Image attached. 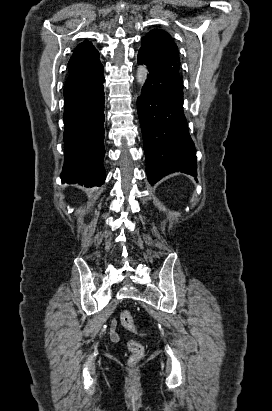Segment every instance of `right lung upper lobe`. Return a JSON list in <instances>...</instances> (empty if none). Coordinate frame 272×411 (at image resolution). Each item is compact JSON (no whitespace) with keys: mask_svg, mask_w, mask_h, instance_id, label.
<instances>
[{"mask_svg":"<svg viewBox=\"0 0 272 411\" xmlns=\"http://www.w3.org/2000/svg\"><path fill=\"white\" fill-rule=\"evenodd\" d=\"M69 76L64 96L74 94L94 85L101 77L103 66L99 53L89 41L80 43L68 62Z\"/></svg>","mask_w":272,"mask_h":411,"instance_id":"obj_1","label":"right lung upper lobe"}]
</instances>
